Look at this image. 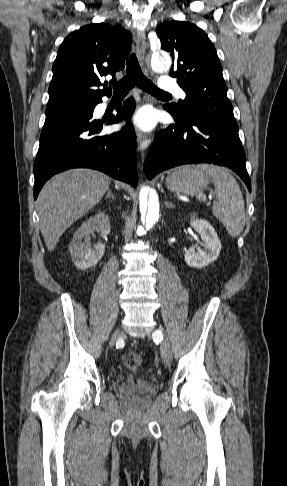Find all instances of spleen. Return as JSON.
<instances>
[{"label":"spleen","instance_id":"obj_1","mask_svg":"<svg viewBox=\"0 0 287 486\" xmlns=\"http://www.w3.org/2000/svg\"><path fill=\"white\" fill-rule=\"evenodd\" d=\"M199 167L207 171L215 186L217 201L212 206L213 215L225 226L231 237H238L245 226V204L236 179L228 169L202 164ZM199 201H206L203 193L197 195Z\"/></svg>","mask_w":287,"mask_h":486}]
</instances>
